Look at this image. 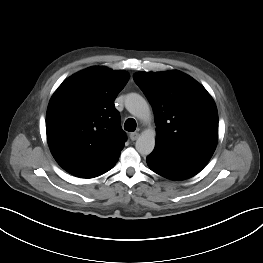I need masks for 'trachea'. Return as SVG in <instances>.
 <instances>
[{
  "label": "trachea",
  "mask_w": 263,
  "mask_h": 263,
  "mask_svg": "<svg viewBox=\"0 0 263 263\" xmlns=\"http://www.w3.org/2000/svg\"><path fill=\"white\" fill-rule=\"evenodd\" d=\"M124 129L129 132H134L136 130V121L133 118L127 119L124 124Z\"/></svg>",
  "instance_id": "3493384b"
}]
</instances>
